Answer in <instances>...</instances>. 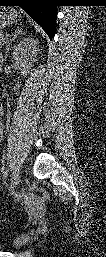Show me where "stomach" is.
<instances>
[{"label":"stomach","mask_w":106,"mask_h":257,"mask_svg":"<svg viewBox=\"0 0 106 257\" xmlns=\"http://www.w3.org/2000/svg\"><path fill=\"white\" fill-rule=\"evenodd\" d=\"M20 15L10 7H2L0 15V26L2 28L15 24L19 21Z\"/></svg>","instance_id":"stomach-1"}]
</instances>
